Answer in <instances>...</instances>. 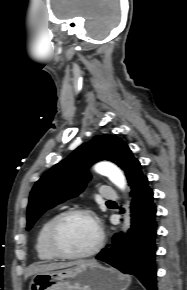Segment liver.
<instances>
[{
  "mask_svg": "<svg viewBox=\"0 0 187 290\" xmlns=\"http://www.w3.org/2000/svg\"><path fill=\"white\" fill-rule=\"evenodd\" d=\"M94 262V260H87V261H78V262H59V263H47V264H40V265H32L28 268V271L25 275V278H28L31 275H36L39 273L54 271L58 269L68 268V267H76V266H83L88 263Z\"/></svg>",
  "mask_w": 187,
  "mask_h": 290,
  "instance_id": "obj_1",
  "label": "liver"
}]
</instances>
